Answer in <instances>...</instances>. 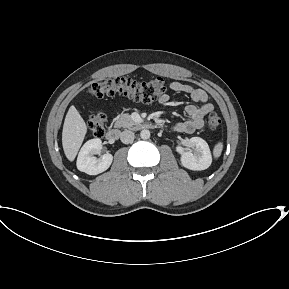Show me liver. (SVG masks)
Masks as SVG:
<instances>
[{
    "label": "liver",
    "mask_w": 289,
    "mask_h": 289,
    "mask_svg": "<svg viewBox=\"0 0 289 289\" xmlns=\"http://www.w3.org/2000/svg\"><path fill=\"white\" fill-rule=\"evenodd\" d=\"M86 133V123L75 106L72 105L66 114L62 132L63 150L69 161L75 159Z\"/></svg>",
    "instance_id": "1"
}]
</instances>
